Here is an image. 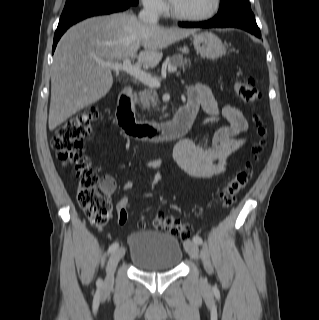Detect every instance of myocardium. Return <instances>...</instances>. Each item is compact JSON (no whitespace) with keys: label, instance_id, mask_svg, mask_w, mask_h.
Masks as SVG:
<instances>
[{"label":"myocardium","instance_id":"myocardium-1","mask_svg":"<svg viewBox=\"0 0 319 320\" xmlns=\"http://www.w3.org/2000/svg\"><path fill=\"white\" fill-rule=\"evenodd\" d=\"M221 7V0H213V6L211 10H209L205 14L201 15H184L178 13L174 7L172 6L170 9V14L173 18L179 20V21H184V22H201V21H206L211 18H213L218 11L220 10Z\"/></svg>","mask_w":319,"mask_h":320}]
</instances>
